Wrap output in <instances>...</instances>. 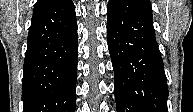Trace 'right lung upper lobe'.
Segmentation results:
<instances>
[{
  "label": "right lung upper lobe",
  "mask_w": 193,
  "mask_h": 112,
  "mask_svg": "<svg viewBox=\"0 0 193 112\" xmlns=\"http://www.w3.org/2000/svg\"><path fill=\"white\" fill-rule=\"evenodd\" d=\"M53 0H38L35 4L34 11L46 6L47 4L51 3Z\"/></svg>",
  "instance_id": "right-lung-upper-lobe-1"
}]
</instances>
